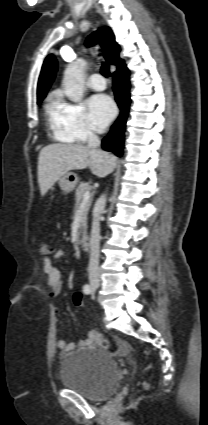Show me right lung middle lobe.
I'll return each instance as SVG.
<instances>
[{
	"mask_svg": "<svg viewBox=\"0 0 208 425\" xmlns=\"http://www.w3.org/2000/svg\"><path fill=\"white\" fill-rule=\"evenodd\" d=\"M41 102V100L40 101H37V103L39 104Z\"/></svg>",
	"mask_w": 208,
	"mask_h": 425,
	"instance_id": "obj_1",
	"label": "right lung middle lobe"
}]
</instances>
